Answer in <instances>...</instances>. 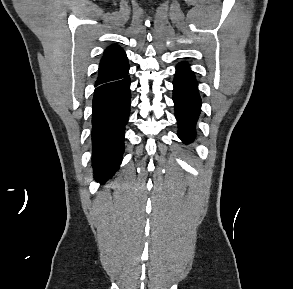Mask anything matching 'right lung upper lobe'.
<instances>
[{"mask_svg":"<svg viewBox=\"0 0 293 289\" xmlns=\"http://www.w3.org/2000/svg\"><path fill=\"white\" fill-rule=\"evenodd\" d=\"M129 64L123 49L114 44L109 46L100 61L95 86L116 81L127 76Z\"/></svg>","mask_w":293,"mask_h":289,"instance_id":"right-lung-upper-lobe-1","label":"right lung upper lobe"}]
</instances>
